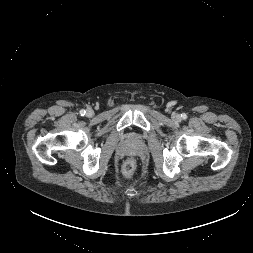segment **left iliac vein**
Returning a JSON list of instances; mask_svg holds the SVG:
<instances>
[{
    "label": "left iliac vein",
    "mask_w": 253,
    "mask_h": 253,
    "mask_svg": "<svg viewBox=\"0 0 253 253\" xmlns=\"http://www.w3.org/2000/svg\"><path fill=\"white\" fill-rule=\"evenodd\" d=\"M173 119L176 120V121H179L181 119L180 115L179 114H175L173 116Z\"/></svg>",
    "instance_id": "1"
}]
</instances>
